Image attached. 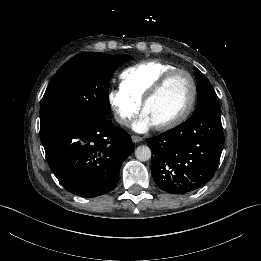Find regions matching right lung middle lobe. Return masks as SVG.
Returning a JSON list of instances; mask_svg holds the SVG:
<instances>
[{"mask_svg":"<svg viewBox=\"0 0 261 261\" xmlns=\"http://www.w3.org/2000/svg\"><path fill=\"white\" fill-rule=\"evenodd\" d=\"M130 59V56L84 52L67 61L54 75L43 96L41 129L62 119L107 116L110 79L115 70Z\"/></svg>","mask_w":261,"mask_h":261,"instance_id":"obj_1","label":"right lung middle lobe"}]
</instances>
